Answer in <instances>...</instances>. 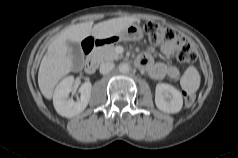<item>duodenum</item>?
I'll return each mask as SVG.
<instances>
[{
	"label": "duodenum",
	"mask_w": 238,
	"mask_h": 158,
	"mask_svg": "<svg viewBox=\"0 0 238 158\" xmlns=\"http://www.w3.org/2000/svg\"><path fill=\"white\" fill-rule=\"evenodd\" d=\"M108 43H109L108 40H95V41L91 40L90 42H87V43L84 44V48L88 52H92L95 49H97L101 46H104ZM96 67H97V65H96L95 59L93 58L92 55H89L86 58L85 65H84L85 71L89 74H92V73L95 72Z\"/></svg>",
	"instance_id": "410a0bca"
}]
</instances>
